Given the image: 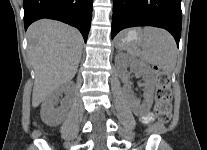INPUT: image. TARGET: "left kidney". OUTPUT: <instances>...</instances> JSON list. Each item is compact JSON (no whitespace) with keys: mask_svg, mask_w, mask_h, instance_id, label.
Segmentation results:
<instances>
[{"mask_svg":"<svg viewBox=\"0 0 207 150\" xmlns=\"http://www.w3.org/2000/svg\"><path fill=\"white\" fill-rule=\"evenodd\" d=\"M115 61L123 69L130 67L132 70H134L136 75L143 77L145 81V89L144 99L142 103L135 99L133 92L131 90L126 89L125 92L130 101L133 113L136 116L145 115L150 111V108L153 104L155 78L152 69L149 65L145 64L144 62H141L123 53L117 55ZM123 69L121 71V76L126 78L127 76Z\"/></svg>","mask_w":207,"mask_h":150,"instance_id":"1","label":"left kidney"}]
</instances>
